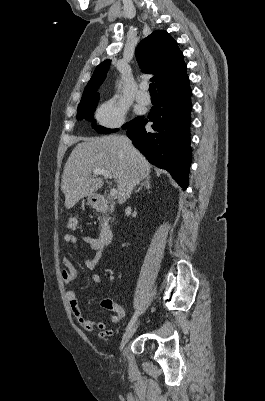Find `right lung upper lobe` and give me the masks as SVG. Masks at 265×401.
Returning <instances> with one entry per match:
<instances>
[{
	"label": "right lung upper lobe",
	"mask_w": 265,
	"mask_h": 401,
	"mask_svg": "<svg viewBox=\"0 0 265 401\" xmlns=\"http://www.w3.org/2000/svg\"><path fill=\"white\" fill-rule=\"evenodd\" d=\"M136 58L143 72L154 74L158 93L179 87L186 81V64L177 42L164 30H156L144 38L136 48ZM111 60L99 64L87 84L81 102L98 96L96 91L104 81Z\"/></svg>",
	"instance_id": "right-lung-upper-lobe-1"
}]
</instances>
